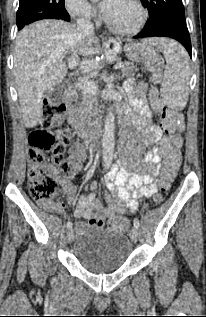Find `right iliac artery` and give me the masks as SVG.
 I'll use <instances>...</instances> for the list:
<instances>
[{"instance_id":"right-iliac-artery-1","label":"right iliac artery","mask_w":206,"mask_h":317,"mask_svg":"<svg viewBox=\"0 0 206 317\" xmlns=\"http://www.w3.org/2000/svg\"><path fill=\"white\" fill-rule=\"evenodd\" d=\"M67 228H68V229H71V228H72V222L69 221V222L67 223Z\"/></svg>"}]
</instances>
